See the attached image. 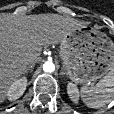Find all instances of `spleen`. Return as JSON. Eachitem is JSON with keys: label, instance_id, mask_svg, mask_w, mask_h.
<instances>
[{"label": "spleen", "instance_id": "3e777b00", "mask_svg": "<svg viewBox=\"0 0 114 114\" xmlns=\"http://www.w3.org/2000/svg\"><path fill=\"white\" fill-rule=\"evenodd\" d=\"M82 101L90 108H100L114 98V69L104 76L96 85L81 87Z\"/></svg>", "mask_w": 114, "mask_h": 114}]
</instances>
